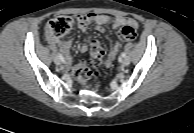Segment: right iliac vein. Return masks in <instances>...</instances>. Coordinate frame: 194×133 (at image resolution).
Listing matches in <instances>:
<instances>
[{
  "mask_svg": "<svg viewBox=\"0 0 194 133\" xmlns=\"http://www.w3.org/2000/svg\"><path fill=\"white\" fill-rule=\"evenodd\" d=\"M54 62H55V64L60 65L61 64V59L58 56H55L54 57Z\"/></svg>",
  "mask_w": 194,
  "mask_h": 133,
  "instance_id": "obj_1",
  "label": "right iliac vein"
}]
</instances>
